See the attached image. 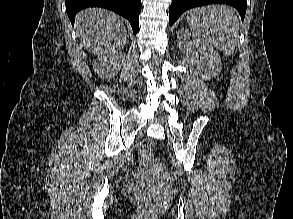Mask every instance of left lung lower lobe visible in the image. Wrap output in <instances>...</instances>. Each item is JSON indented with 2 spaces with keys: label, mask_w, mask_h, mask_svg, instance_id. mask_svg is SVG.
<instances>
[{
  "label": "left lung lower lobe",
  "mask_w": 293,
  "mask_h": 219,
  "mask_svg": "<svg viewBox=\"0 0 293 219\" xmlns=\"http://www.w3.org/2000/svg\"><path fill=\"white\" fill-rule=\"evenodd\" d=\"M214 3L229 4L238 10L242 20L245 17L246 0H172L169 8V23L172 25L183 12L190 8Z\"/></svg>",
  "instance_id": "left-lung-lower-lobe-1"
}]
</instances>
